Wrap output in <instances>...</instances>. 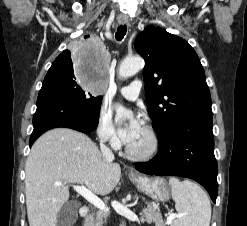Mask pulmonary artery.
I'll use <instances>...</instances> for the list:
<instances>
[{
	"instance_id": "obj_1",
	"label": "pulmonary artery",
	"mask_w": 247,
	"mask_h": 226,
	"mask_svg": "<svg viewBox=\"0 0 247 226\" xmlns=\"http://www.w3.org/2000/svg\"><path fill=\"white\" fill-rule=\"evenodd\" d=\"M142 83L140 80H134L127 86L120 88L121 95L131 101H134L138 98Z\"/></svg>"
}]
</instances>
